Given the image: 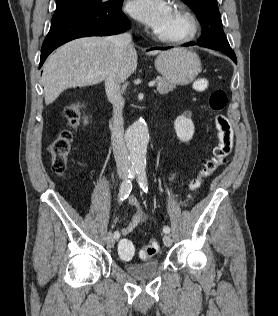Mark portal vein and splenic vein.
Instances as JSON below:
<instances>
[{
  "instance_id": "1",
  "label": "portal vein and splenic vein",
  "mask_w": 278,
  "mask_h": 316,
  "mask_svg": "<svg viewBox=\"0 0 278 316\" xmlns=\"http://www.w3.org/2000/svg\"><path fill=\"white\" fill-rule=\"evenodd\" d=\"M149 87H153L154 85H155V82L154 81H151V82H149Z\"/></svg>"
}]
</instances>
